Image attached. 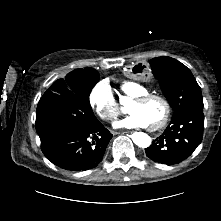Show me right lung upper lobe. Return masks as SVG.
<instances>
[{"label":"right lung upper lobe","instance_id":"right-lung-upper-lobe-1","mask_svg":"<svg viewBox=\"0 0 221 221\" xmlns=\"http://www.w3.org/2000/svg\"><path fill=\"white\" fill-rule=\"evenodd\" d=\"M93 71H95V70L92 69V68L76 69V70L70 72L69 74H67L66 78H71V77H74V76H79V75L85 74V73H91Z\"/></svg>","mask_w":221,"mask_h":221}]
</instances>
